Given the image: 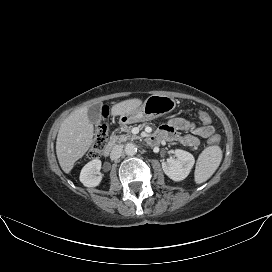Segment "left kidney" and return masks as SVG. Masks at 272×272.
Here are the masks:
<instances>
[{"mask_svg": "<svg viewBox=\"0 0 272 272\" xmlns=\"http://www.w3.org/2000/svg\"><path fill=\"white\" fill-rule=\"evenodd\" d=\"M174 153L176 159L172 157L168 158L166 162L162 163V169L170 179L182 181L189 175L195 159L191 153L181 149H176Z\"/></svg>", "mask_w": 272, "mask_h": 272, "instance_id": "left-kidney-1", "label": "left kidney"}]
</instances>
